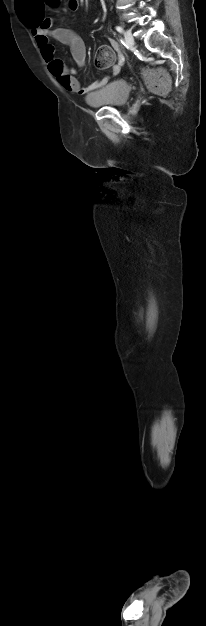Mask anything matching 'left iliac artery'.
I'll list each match as a JSON object with an SVG mask.
<instances>
[{
  "mask_svg": "<svg viewBox=\"0 0 206 626\" xmlns=\"http://www.w3.org/2000/svg\"><path fill=\"white\" fill-rule=\"evenodd\" d=\"M116 30H117L118 32H120V33H122V32H123V28H122L121 26H116Z\"/></svg>",
  "mask_w": 206,
  "mask_h": 626,
  "instance_id": "1",
  "label": "left iliac artery"
}]
</instances>
